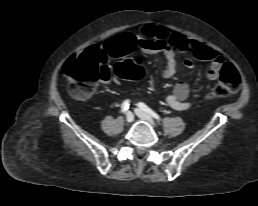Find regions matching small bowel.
Listing matches in <instances>:
<instances>
[{
    "mask_svg": "<svg viewBox=\"0 0 258 206\" xmlns=\"http://www.w3.org/2000/svg\"><path fill=\"white\" fill-rule=\"evenodd\" d=\"M130 42H133L134 46L138 44L145 53H159L163 56L162 76L165 78H171L176 73V51L191 54V57L184 62L188 68L193 67L194 59L209 62L210 68L207 77L213 81L220 77V71L224 65L223 57L216 50L197 40L188 39L180 33H168L164 29H155L154 27H145L136 35L121 33L110 38L102 46L92 45L89 48L98 49L105 55L112 57H121L132 50L129 45ZM110 83L118 84V80L112 79ZM188 96V84L178 82L175 84L172 93L167 96L166 103L175 110H187L191 106Z\"/></svg>",
    "mask_w": 258,
    "mask_h": 206,
    "instance_id": "small-bowel-1",
    "label": "small bowel"
}]
</instances>
